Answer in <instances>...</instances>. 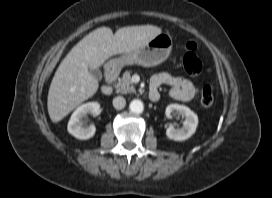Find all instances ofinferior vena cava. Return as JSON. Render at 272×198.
<instances>
[{
	"label": "inferior vena cava",
	"mask_w": 272,
	"mask_h": 198,
	"mask_svg": "<svg viewBox=\"0 0 272 198\" xmlns=\"http://www.w3.org/2000/svg\"><path fill=\"white\" fill-rule=\"evenodd\" d=\"M126 105V100L122 96H117L113 99V106L115 109H123Z\"/></svg>",
	"instance_id": "obj_1"
}]
</instances>
